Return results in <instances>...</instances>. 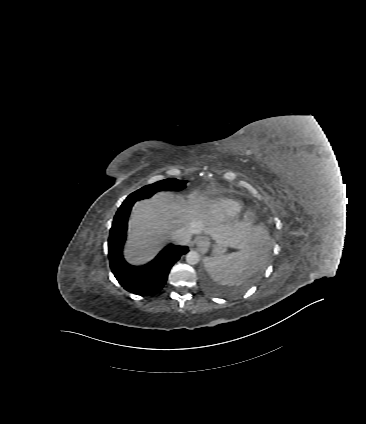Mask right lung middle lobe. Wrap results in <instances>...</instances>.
I'll return each instance as SVG.
<instances>
[{"mask_svg":"<svg viewBox=\"0 0 366 424\" xmlns=\"http://www.w3.org/2000/svg\"><path fill=\"white\" fill-rule=\"evenodd\" d=\"M186 187V181L177 180L175 178L165 179L156 183L146 185L141 189L130 194L122 204L136 202L141 199L149 198L158 191L173 190L178 191Z\"/></svg>","mask_w":366,"mask_h":424,"instance_id":"right-lung-middle-lobe-1","label":"right lung middle lobe"}]
</instances>
